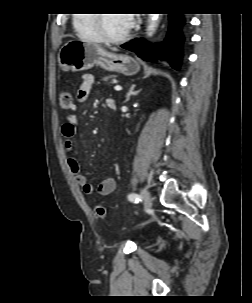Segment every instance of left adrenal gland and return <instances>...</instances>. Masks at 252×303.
I'll return each mask as SVG.
<instances>
[{
    "label": "left adrenal gland",
    "instance_id": "1",
    "mask_svg": "<svg viewBox=\"0 0 252 303\" xmlns=\"http://www.w3.org/2000/svg\"><path fill=\"white\" fill-rule=\"evenodd\" d=\"M135 86H136V85H131V87H130V89H129L127 95H126V99H125L124 102L129 101V99H130L131 96L136 95L137 93H139V92L141 91V90L134 91Z\"/></svg>",
    "mask_w": 252,
    "mask_h": 303
}]
</instances>
